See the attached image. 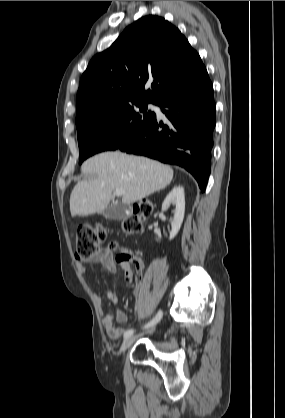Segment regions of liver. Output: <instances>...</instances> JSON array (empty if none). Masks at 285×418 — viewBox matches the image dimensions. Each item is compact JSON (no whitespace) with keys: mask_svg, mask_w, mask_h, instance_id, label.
<instances>
[{"mask_svg":"<svg viewBox=\"0 0 285 418\" xmlns=\"http://www.w3.org/2000/svg\"><path fill=\"white\" fill-rule=\"evenodd\" d=\"M81 171L95 174L79 181L70 195L72 216H87L104 210L121 190L123 204L130 205L165 188L173 178V169L155 160L118 151L104 152L86 160Z\"/></svg>","mask_w":285,"mask_h":418,"instance_id":"liver-1","label":"liver"}]
</instances>
